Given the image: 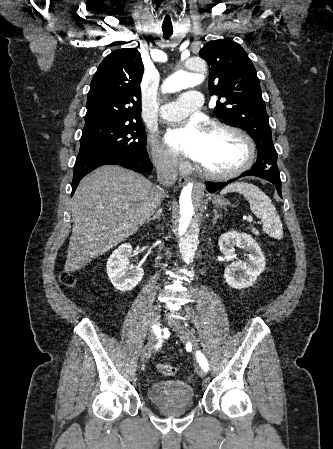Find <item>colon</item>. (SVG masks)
I'll list each match as a JSON object with an SVG mask.
<instances>
[{"label": "colon", "instance_id": "colon-1", "mask_svg": "<svg viewBox=\"0 0 333 449\" xmlns=\"http://www.w3.org/2000/svg\"><path fill=\"white\" fill-rule=\"evenodd\" d=\"M60 282L67 287H71L75 284V277L72 273L68 271H64L60 274ZM157 370L167 376H172L175 374V368L171 364L168 363H159L157 364Z\"/></svg>", "mask_w": 333, "mask_h": 449}]
</instances>
